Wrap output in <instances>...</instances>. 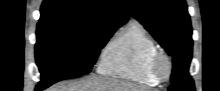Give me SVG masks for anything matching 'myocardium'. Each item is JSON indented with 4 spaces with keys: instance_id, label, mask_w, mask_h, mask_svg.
<instances>
[{
    "instance_id": "1",
    "label": "myocardium",
    "mask_w": 220,
    "mask_h": 91,
    "mask_svg": "<svg viewBox=\"0 0 220 91\" xmlns=\"http://www.w3.org/2000/svg\"><path fill=\"white\" fill-rule=\"evenodd\" d=\"M172 61L166 52L158 51L151 60V71L159 81H166L172 74Z\"/></svg>"
}]
</instances>
